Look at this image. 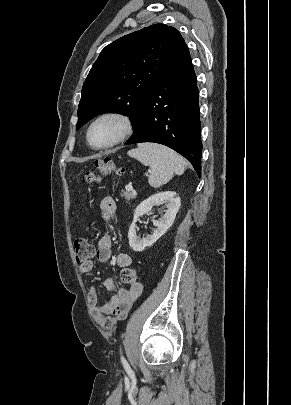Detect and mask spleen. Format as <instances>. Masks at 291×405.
<instances>
[{
    "instance_id": "3e777b00",
    "label": "spleen",
    "mask_w": 291,
    "mask_h": 405,
    "mask_svg": "<svg viewBox=\"0 0 291 405\" xmlns=\"http://www.w3.org/2000/svg\"><path fill=\"white\" fill-rule=\"evenodd\" d=\"M128 155L149 166L148 182L155 188L166 184L174 174L182 175L187 167L185 160L176 152L159 144H140Z\"/></svg>"
}]
</instances>
